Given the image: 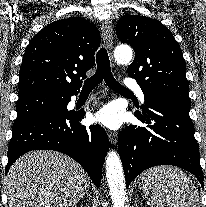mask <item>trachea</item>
<instances>
[{"mask_svg": "<svg viewBox=\"0 0 206 207\" xmlns=\"http://www.w3.org/2000/svg\"><path fill=\"white\" fill-rule=\"evenodd\" d=\"M97 60V70L93 76L88 78L83 85L82 91H92L98 84L103 80L106 85L118 93L132 94L130 90L122 86L111 73L110 61L108 57L107 50L101 48L96 56Z\"/></svg>", "mask_w": 206, "mask_h": 207, "instance_id": "trachea-1", "label": "trachea"}]
</instances>
